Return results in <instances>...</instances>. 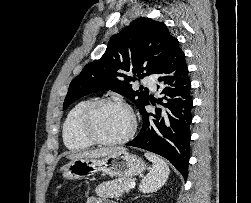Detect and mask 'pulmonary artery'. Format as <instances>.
I'll use <instances>...</instances> for the list:
<instances>
[{
	"label": "pulmonary artery",
	"instance_id": "obj_1",
	"mask_svg": "<svg viewBox=\"0 0 251 203\" xmlns=\"http://www.w3.org/2000/svg\"><path fill=\"white\" fill-rule=\"evenodd\" d=\"M144 83L146 85H148L152 90L156 89V81H155V77L152 75H147L144 77L143 79Z\"/></svg>",
	"mask_w": 251,
	"mask_h": 203
}]
</instances>
